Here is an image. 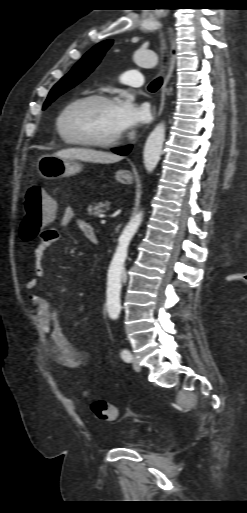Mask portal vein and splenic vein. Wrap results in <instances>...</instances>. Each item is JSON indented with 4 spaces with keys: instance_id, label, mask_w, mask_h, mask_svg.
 I'll use <instances>...</instances> for the list:
<instances>
[{
    "instance_id": "18ae733b",
    "label": "portal vein and splenic vein",
    "mask_w": 247,
    "mask_h": 513,
    "mask_svg": "<svg viewBox=\"0 0 247 513\" xmlns=\"http://www.w3.org/2000/svg\"><path fill=\"white\" fill-rule=\"evenodd\" d=\"M105 223H106V220L101 219V224H105Z\"/></svg>"
}]
</instances>
